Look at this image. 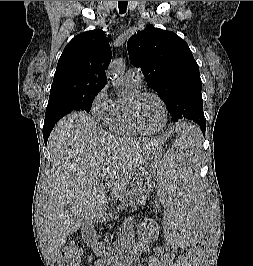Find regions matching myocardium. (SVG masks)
I'll list each match as a JSON object with an SVG mask.
<instances>
[{
  "label": "myocardium",
  "instance_id": "1",
  "mask_svg": "<svg viewBox=\"0 0 253 266\" xmlns=\"http://www.w3.org/2000/svg\"><path fill=\"white\" fill-rule=\"evenodd\" d=\"M146 96H152V97L156 98L162 107L163 114H164V122L159 129H156V130L145 129L139 121L138 113H137V107H138L139 102ZM128 110H129L131 123H132L133 127L140 134H146V135L159 134V133L163 132L168 125V120H169L168 108H167V105H166L165 101L163 100V98L157 92H154L151 90H143V91H139V92L135 93L129 99Z\"/></svg>",
  "mask_w": 253,
  "mask_h": 266
}]
</instances>
